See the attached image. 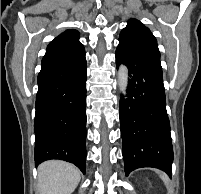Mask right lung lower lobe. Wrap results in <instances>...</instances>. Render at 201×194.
Listing matches in <instances>:
<instances>
[{"label": "right lung lower lobe", "mask_w": 201, "mask_h": 194, "mask_svg": "<svg viewBox=\"0 0 201 194\" xmlns=\"http://www.w3.org/2000/svg\"><path fill=\"white\" fill-rule=\"evenodd\" d=\"M86 73V61L39 72L34 121L36 165L60 159L85 174Z\"/></svg>", "instance_id": "obj_1"}]
</instances>
